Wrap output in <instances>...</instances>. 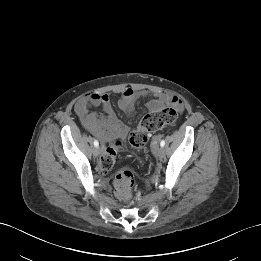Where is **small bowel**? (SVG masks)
<instances>
[{
    "mask_svg": "<svg viewBox=\"0 0 261 261\" xmlns=\"http://www.w3.org/2000/svg\"><path fill=\"white\" fill-rule=\"evenodd\" d=\"M141 98H149L146 104L149 111L159 110L164 105H171L178 111L183 109V102L176 94L171 92L150 93L144 90L136 91L132 88L122 91L118 106L125 114L130 115ZM92 106L101 107L102 113L92 111ZM75 110L84 127L102 142H111L118 138L125 139L130 133L129 127L117 118L107 94L85 95L77 101Z\"/></svg>",
    "mask_w": 261,
    "mask_h": 261,
    "instance_id": "1",
    "label": "small bowel"
}]
</instances>
